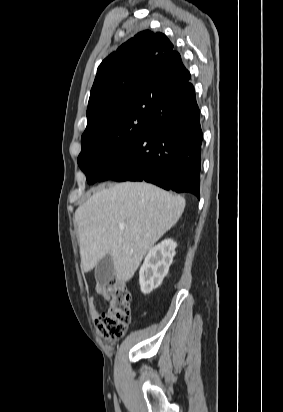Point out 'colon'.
<instances>
[{
  "label": "colon",
  "mask_w": 283,
  "mask_h": 412,
  "mask_svg": "<svg viewBox=\"0 0 283 412\" xmlns=\"http://www.w3.org/2000/svg\"><path fill=\"white\" fill-rule=\"evenodd\" d=\"M106 300L108 309L97 317L95 327L104 341L113 343L123 337L130 322L129 295L122 284L111 282Z\"/></svg>",
  "instance_id": "1"
}]
</instances>
